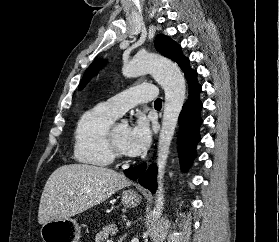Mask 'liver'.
Returning a JSON list of instances; mask_svg holds the SVG:
<instances>
[{"instance_id": "6515ba94", "label": "liver", "mask_w": 279, "mask_h": 242, "mask_svg": "<svg viewBox=\"0 0 279 242\" xmlns=\"http://www.w3.org/2000/svg\"><path fill=\"white\" fill-rule=\"evenodd\" d=\"M131 185L125 175L106 167L70 164L48 178L40 199L39 224L68 219L98 205Z\"/></svg>"}]
</instances>
